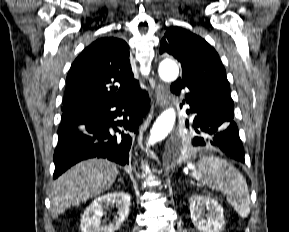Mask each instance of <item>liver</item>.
Masks as SVG:
<instances>
[{
	"label": "liver",
	"instance_id": "1",
	"mask_svg": "<svg viewBox=\"0 0 289 232\" xmlns=\"http://www.w3.org/2000/svg\"><path fill=\"white\" fill-rule=\"evenodd\" d=\"M118 175L116 164L105 159L82 161L61 175L51 191V215L63 211L110 189Z\"/></svg>",
	"mask_w": 289,
	"mask_h": 232
}]
</instances>
